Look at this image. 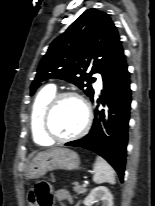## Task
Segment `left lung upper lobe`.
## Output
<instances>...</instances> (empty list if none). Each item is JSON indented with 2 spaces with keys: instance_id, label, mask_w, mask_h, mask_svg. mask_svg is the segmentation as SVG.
I'll return each instance as SVG.
<instances>
[{
  "instance_id": "left-lung-upper-lobe-1",
  "label": "left lung upper lobe",
  "mask_w": 155,
  "mask_h": 206,
  "mask_svg": "<svg viewBox=\"0 0 155 206\" xmlns=\"http://www.w3.org/2000/svg\"><path fill=\"white\" fill-rule=\"evenodd\" d=\"M122 50L111 18L103 11L88 9L51 43L31 84V95L44 80L59 78L77 85L92 99L95 78L91 75L103 76Z\"/></svg>"
}]
</instances>
